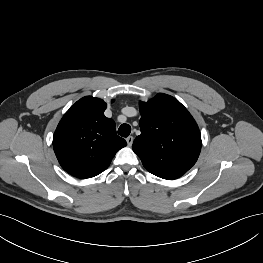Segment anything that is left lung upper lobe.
Listing matches in <instances>:
<instances>
[{
    "label": "left lung upper lobe",
    "mask_w": 263,
    "mask_h": 263,
    "mask_svg": "<svg viewBox=\"0 0 263 263\" xmlns=\"http://www.w3.org/2000/svg\"><path fill=\"white\" fill-rule=\"evenodd\" d=\"M141 134L132 149L150 173L164 178L168 172L185 174L201 150L199 128L187 109L174 97L159 93L140 102Z\"/></svg>",
    "instance_id": "5c2ea615"
}]
</instances>
